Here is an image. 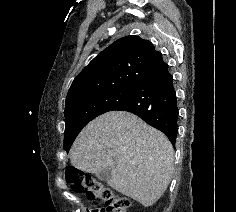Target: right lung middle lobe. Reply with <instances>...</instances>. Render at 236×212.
<instances>
[{
    "instance_id": "right-lung-middle-lobe-1",
    "label": "right lung middle lobe",
    "mask_w": 236,
    "mask_h": 212,
    "mask_svg": "<svg viewBox=\"0 0 236 212\" xmlns=\"http://www.w3.org/2000/svg\"><path fill=\"white\" fill-rule=\"evenodd\" d=\"M135 87H123L86 96L65 105L64 148L68 152L79 132L97 116L115 110Z\"/></svg>"
}]
</instances>
